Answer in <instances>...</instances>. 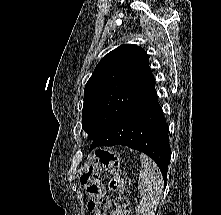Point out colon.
<instances>
[{"label": "colon", "instance_id": "colon-1", "mask_svg": "<svg viewBox=\"0 0 221 215\" xmlns=\"http://www.w3.org/2000/svg\"><path fill=\"white\" fill-rule=\"evenodd\" d=\"M109 170L113 177L110 180V188L118 193V197L112 200L106 195L102 183V172ZM86 195L89 198L88 210L94 215H106L114 205L120 215H125L128 199L123 194L124 182L122 169L118 156L107 150L97 149L92 154V159L80 177Z\"/></svg>", "mask_w": 221, "mask_h": 215}]
</instances>
